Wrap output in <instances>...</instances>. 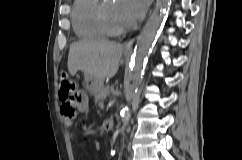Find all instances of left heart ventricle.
I'll use <instances>...</instances> for the list:
<instances>
[{"mask_svg": "<svg viewBox=\"0 0 242 160\" xmlns=\"http://www.w3.org/2000/svg\"><path fill=\"white\" fill-rule=\"evenodd\" d=\"M102 5L106 21L111 28L122 29L126 27V24L118 11L117 2L115 0H104Z\"/></svg>", "mask_w": 242, "mask_h": 160, "instance_id": "obj_1", "label": "left heart ventricle"}]
</instances>
